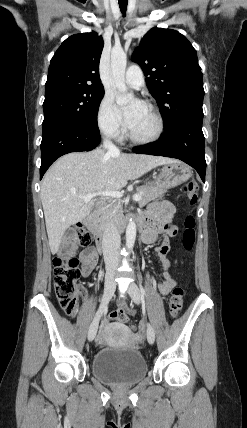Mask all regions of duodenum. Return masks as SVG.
Wrapping results in <instances>:
<instances>
[{
    "label": "duodenum",
    "mask_w": 247,
    "mask_h": 428,
    "mask_svg": "<svg viewBox=\"0 0 247 428\" xmlns=\"http://www.w3.org/2000/svg\"><path fill=\"white\" fill-rule=\"evenodd\" d=\"M101 207H102V203L100 202L96 205V208L93 211V213H91L84 221L86 226L92 231L94 235L96 248L99 252L103 251V248L106 243V237L102 233V231L99 229L97 224V215ZM136 222L139 228L143 230L145 226L144 221L142 219H138ZM123 229H124V224L123 223L119 224L118 230L121 232Z\"/></svg>",
    "instance_id": "obj_1"
}]
</instances>
